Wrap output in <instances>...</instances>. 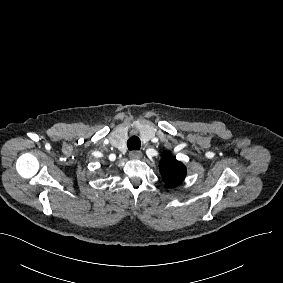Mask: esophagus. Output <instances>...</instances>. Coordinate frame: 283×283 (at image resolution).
<instances>
[{
  "label": "esophagus",
  "mask_w": 283,
  "mask_h": 283,
  "mask_svg": "<svg viewBox=\"0 0 283 283\" xmlns=\"http://www.w3.org/2000/svg\"><path fill=\"white\" fill-rule=\"evenodd\" d=\"M142 156V152L139 150H134L129 153L130 159H141Z\"/></svg>",
  "instance_id": "obj_1"
}]
</instances>
